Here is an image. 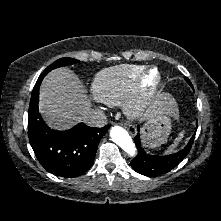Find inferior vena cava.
<instances>
[{
    "label": "inferior vena cava",
    "mask_w": 221,
    "mask_h": 221,
    "mask_svg": "<svg viewBox=\"0 0 221 221\" xmlns=\"http://www.w3.org/2000/svg\"><path fill=\"white\" fill-rule=\"evenodd\" d=\"M82 121L89 126L103 127L107 123L106 115L100 110L91 109L82 116Z\"/></svg>",
    "instance_id": "inferior-vena-cava-1"
}]
</instances>
